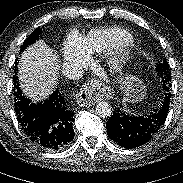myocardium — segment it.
I'll return each instance as SVG.
<instances>
[{"label": "myocardium", "instance_id": "f54148a6", "mask_svg": "<svg viewBox=\"0 0 183 183\" xmlns=\"http://www.w3.org/2000/svg\"><path fill=\"white\" fill-rule=\"evenodd\" d=\"M131 54L132 50L130 48L122 50L119 55L110 60V68L115 71H120L124 67Z\"/></svg>", "mask_w": 183, "mask_h": 183}]
</instances>
